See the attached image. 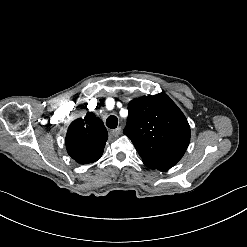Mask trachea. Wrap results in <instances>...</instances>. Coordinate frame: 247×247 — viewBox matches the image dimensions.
Segmentation results:
<instances>
[{
    "label": "trachea",
    "mask_w": 247,
    "mask_h": 247,
    "mask_svg": "<svg viewBox=\"0 0 247 247\" xmlns=\"http://www.w3.org/2000/svg\"><path fill=\"white\" fill-rule=\"evenodd\" d=\"M106 125H107L109 128H111V129L116 128L117 125H118V119H117V117H116V116H113V115L109 116V117L107 118V120H106Z\"/></svg>",
    "instance_id": "obj_1"
}]
</instances>
